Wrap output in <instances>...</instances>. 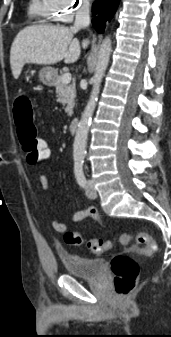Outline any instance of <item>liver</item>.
Here are the masks:
<instances>
[{"mask_svg": "<svg viewBox=\"0 0 171 337\" xmlns=\"http://www.w3.org/2000/svg\"><path fill=\"white\" fill-rule=\"evenodd\" d=\"M78 29L64 26L39 25L21 30L15 37L10 50V65L15 79L26 63L50 65L64 60L66 64L77 61L81 46L73 38ZM88 42L82 43L83 48Z\"/></svg>", "mask_w": 171, "mask_h": 337, "instance_id": "6515ba94", "label": "liver"}]
</instances>
